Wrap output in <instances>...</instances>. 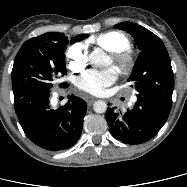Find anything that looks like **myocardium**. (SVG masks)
Masks as SVG:
<instances>
[{
	"label": "myocardium",
	"mask_w": 187,
	"mask_h": 187,
	"mask_svg": "<svg viewBox=\"0 0 187 187\" xmlns=\"http://www.w3.org/2000/svg\"><path fill=\"white\" fill-rule=\"evenodd\" d=\"M114 65L123 73H128L134 66V58L129 51L111 53Z\"/></svg>",
	"instance_id": "obj_1"
}]
</instances>
